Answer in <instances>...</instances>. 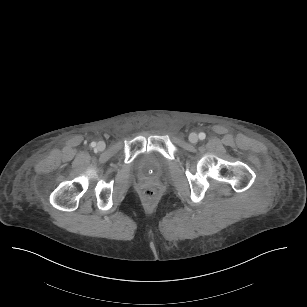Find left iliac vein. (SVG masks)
Here are the masks:
<instances>
[{
    "instance_id": "4c4485c4",
    "label": "left iliac vein",
    "mask_w": 307,
    "mask_h": 307,
    "mask_svg": "<svg viewBox=\"0 0 307 307\" xmlns=\"http://www.w3.org/2000/svg\"><path fill=\"white\" fill-rule=\"evenodd\" d=\"M189 141L193 144H196L198 142V135L196 133H191L189 135Z\"/></svg>"
}]
</instances>
